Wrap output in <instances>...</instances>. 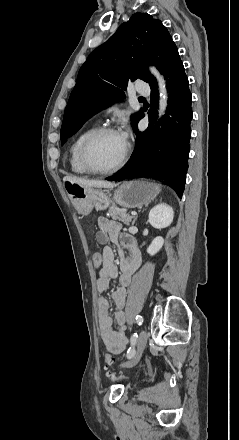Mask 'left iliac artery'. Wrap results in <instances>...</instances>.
Instances as JSON below:
<instances>
[{"label": "left iliac artery", "mask_w": 239, "mask_h": 440, "mask_svg": "<svg viewBox=\"0 0 239 440\" xmlns=\"http://www.w3.org/2000/svg\"><path fill=\"white\" fill-rule=\"evenodd\" d=\"M136 323H137L138 325H142V323H143V317H142L141 315H137V316H136ZM137 337H138L137 333H134V334L131 336V338H130L131 347L128 349V352H127V358H128V359L133 358L134 355H135V353H136V352H135V345H136V342H137Z\"/></svg>", "instance_id": "1"}]
</instances>
